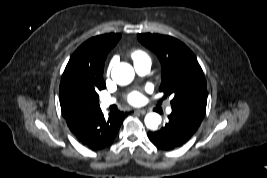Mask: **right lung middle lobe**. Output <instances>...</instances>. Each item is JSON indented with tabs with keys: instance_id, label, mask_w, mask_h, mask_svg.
<instances>
[{
	"instance_id": "1",
	"label": "right lung middle lobe",
	"mask_w": 267,
	"mask_h": 178,
	"mask_svg": "<svg viewBox=\"0 0 267 178\" xmlns=\"http://www.w3.org/2000/svg\"><path fill=\"white\" fill-rule=\"evenodd\" d=\"M105 83H95L91 79H74L64 84L60 90L61 109H95L99 107L98 91Z\"/></svg>"
}]
</instances>
